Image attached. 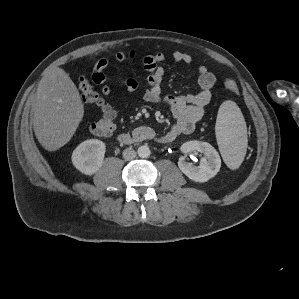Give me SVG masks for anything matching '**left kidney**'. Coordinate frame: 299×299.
I'll use <instances>...</instances> for the list:
<instances>
[{"label": "left kidney", "mask_w": 299, "mask_h": 299, "mask_svg": "<svg viewBox=\"0 0 299 299\" xmlns=\"http://www.w3.org/2000/svg\"><path fill=\"white\" fill-rule=\"evenodd\" d=\"M180 149L186 154L196 151L204 154L198 166L191 165L183 156L179 158L178 166L180 170L192 181L206 182L219 172L221 159L211 144L200 141H189L184 143Z\"/></svg>", "instance_id": "1"}]
</instances>
